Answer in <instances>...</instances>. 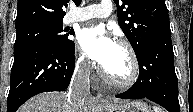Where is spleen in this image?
Returning a JSON list of instances; mask_svg holds the SVG:
<instances>
[{"mask_svg": "<svg viewBox=\"0 0 193 112\" xmlns=\"http://www.w3.org/2000/svg\"><path fill=\"white\" fill-rule=\"evenodd\" d=\"M160 110H158V109H155V112H159Z\"/></svg>", "mask_w": 193, "mask_h": 112, "instance_id": "obj_1", "label": "spleen"}]
</instances>
